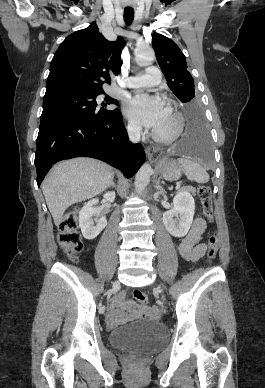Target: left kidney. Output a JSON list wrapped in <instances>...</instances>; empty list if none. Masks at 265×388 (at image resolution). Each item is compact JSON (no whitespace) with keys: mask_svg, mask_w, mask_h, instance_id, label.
<instances>
[{"mask_svg":"<svg viewBox=\"0 0 265 388\" xmlns=\"http://www.w3.org/2000/svg\"><path fill=\"white\" fill-rule=\"evenodd\" d=\"M174 208L164 212L163 224L171 236L184 238L193 222L195 202L189 192H178L173 198Z\"/></svg>","mask_w":265,"mask_h":388,"instance_id":"1","label":"left kidney"}]
</instances>
